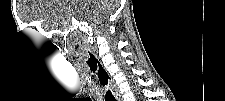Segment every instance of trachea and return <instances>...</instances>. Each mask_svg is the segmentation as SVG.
<instances>
[{
  "label": "trachea",
  "instance_id": "obj_1",
  "mask_svg": "<svg viewBox=\"0 0 225 101\" xmlns=\"http://www.w3.org/2000/svg\"><path fill=\"white\" fill-rule=\"evenodd\" d=\"M105 101H116L110 90L106 92Z\"/></svg>",
  "mask_w": 225,
  "mask_h": 101
}]
</instances>
